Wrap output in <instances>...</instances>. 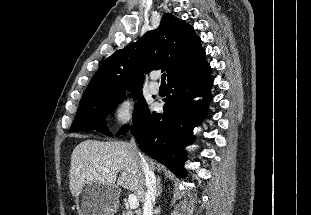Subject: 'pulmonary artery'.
Segmentation results:
<instances>
[{
  "mask_svg": "<svg viewBox=\"0 0 311 215\" xmlns=\"http://www.w3.org/2000/svg\"><path fill=\"white\" fill-rule=\"evenodd\" d=\"M153 81L149 84V90L153 94H157L159 92V85L155 82L157 76L152 77Z\"/></svg>",
  "mask_w": 311,
  "mask_h": 215,
  "instance_id": "1",
  "label": "pulmonary artery"
}]
</instances>
